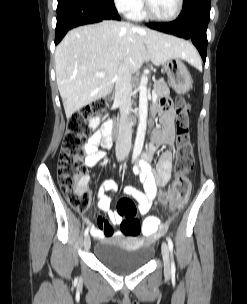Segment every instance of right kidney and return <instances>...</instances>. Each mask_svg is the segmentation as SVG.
Instances as JSON below:
<instances>
[{
	"label": "right kidney",
	"instance_id": "ca27d5eb",
	"mask_svg": "<svg viewBox=\"0 0 247 304\" xmlns=\"http://www.w3.org/2000/svg\"><path fill=\"white\" fill-rule=\"evenodd\" d=\"M100 123V118L99 117H94L90 119L89 121V127L92 129H95Z\"/></svg>",
	"mask_w": 247,
	"mask_h": 304
}]
</instances>
